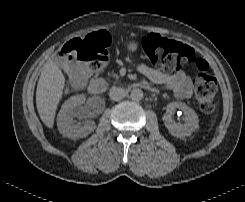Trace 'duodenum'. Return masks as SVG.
<instances>
[{"label": "duodenum", "mask_w": 245, "mask_h": 202, "mask_svg": "<svg viewBox=\"0 0 245 202\" xmlns=\"http://www.w3.org/2000/svg\"><path fill=\"white\" fill-rule=\"evenodd\" d=\"M132 88H140L150 92H156V89L147 82H136L132 84ZM106 83L102 79H92L88 83V91L92 96H97L104 92Z\"/></svg>", "instance_id": "410a0bca"}]
</instances>
